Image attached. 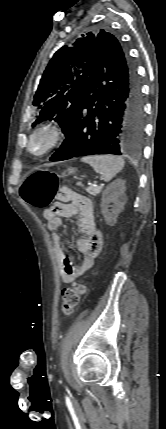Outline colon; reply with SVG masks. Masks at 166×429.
I'll return each mask as SVG.
<instances>
[{
	"mask_svg": "<svg viewBox=\"0 0 166 429\" xmlns=\"http://www.w3.org/2000/svg\"><path fill=\"white\" fill-rule=\"evenodd\" d=\"M21 197L30 205L37 208L47 207L55 198L68 199L78 205H86L88 200L63 187L58 188V177L48 170H35L24 180L20 188ZM87 292L83 283H73L62 291V312L71 314L78 306L82 296Z\"/></svg>",
	"mask_w": 166,
	"mask_h": 429,
	"instance_id": "colon-1",
	"label": "colon"
}]
</instances>
